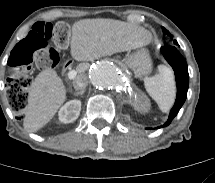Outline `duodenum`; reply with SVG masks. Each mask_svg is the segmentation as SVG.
Segmentation results:
<instances>
[{
	"instance_id": "duodenum-1",
	"label": "duodenum",
	"mask_w": 215,
	"mask_h": 183,
	"mask_svg": "<svg viewBox=\"0 0 215 183\" xmlns=\"http://www.w3.org/2000/svg\"><path fill=\"white\" fill-rule=\"evenodd\" d=\"M72 64L71 60L66 61L65 63V69H67Z\"/></svg>"
}]
</instances>
